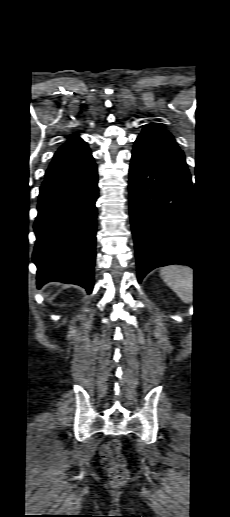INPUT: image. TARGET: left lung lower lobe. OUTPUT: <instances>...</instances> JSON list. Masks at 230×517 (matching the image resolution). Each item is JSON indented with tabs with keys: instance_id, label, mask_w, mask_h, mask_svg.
<instances>
[{
	"instance_id": "1",
	"label": "left lung lower lobe",
	"mask_w": 230,
	"mask_h": 517,
	"mask_svg": "<svg viewBox=\"0 0 230 517\" xmlns=\"http://www.w3.org/2000/svg\"><path fill=\"white\" fill-rule=\"evenodd\" d=\"M129 201L138 282L154 268L169 264L196 269L191 250L192 180L185 157L136 140L129 169Z\"/></svg>"
}]
</instances>
